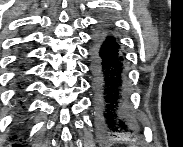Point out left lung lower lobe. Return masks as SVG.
Segmentation results:
<instances>
[{"mask_svg": "<svg viewBox=\"0 0 183 147\" xmlns=\"http://www.w3.org/2000/svg\"><path fill=\"white\" fill-rule=\"evenodd\" d=\"M91 72L96 124L103 136L133 133L136 124L126 107V83L123 56L116 38L105 29L94 36Z\"/></svg>", "mask_w": 183, "mask_h": 147, "instance_id": "obj_1", "label": "left lung lower lobe"}]
</instances>
